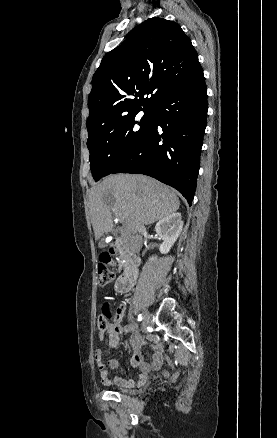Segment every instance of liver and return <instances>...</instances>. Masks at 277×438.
I'll return each instance as SVG.
<instances>
[{"label": "liver", "mask_w": 277, "mask_h": 438, "mask_svg": "<svg viewBox=\"0 0 277 438\" xmlns=\"http://www.w3.org/2000/svg\"><path fill=\"white\" fill-rule=\"evenodd\" d=\"M89 202L95 240L113 230L112 212L123 230L141 232L180 206L171 188L142 174L108 176L91 188Z\"/></svg>", "instance_id": "6515ba94"}]
</instances>
